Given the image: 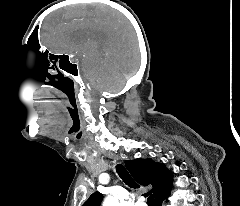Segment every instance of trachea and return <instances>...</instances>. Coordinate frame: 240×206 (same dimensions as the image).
I'll return each mask as SVG.
<instances>
[{"label":"trachea","mask_w":240,"mask_h":206,"mask_svg":"<svg viewBox=\"0 0 240 206\" xmlns=\"http://www.w3.org/2000/svg\"><path fill=\"white\" fill-rule=\"evenodd\" d=\"M117 173L126 185H128L131 188H139V185L134 181V179L130 176V174L123 165L121 164L117 165ZM147 203L149 206H155L152 195L148 197Z\"/></svg>","instance_id":"1"}]
</instances>
